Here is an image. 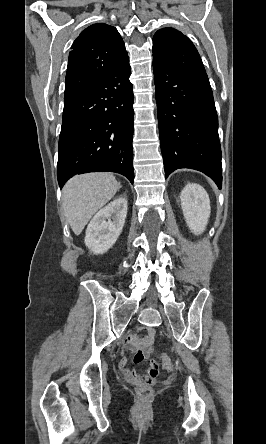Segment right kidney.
<instances>
[{
  "instance_id": "ca27d5eb",
  "label": "right kidney",
  "mask_w": 266,
  "mask_h": 444,
  "mask_svg": "<svg viewBox=\"0 0 266 444\" xmlns=\"http://www.w3.org/2000/svg\"><path fill=\"white\" fill-rule=\"evenodd\" d=\"M127 215V200L118 197L101 209L90 221L85 245L95 254L107 252L117 241Z\"/></svg>"
}]
</instances>
